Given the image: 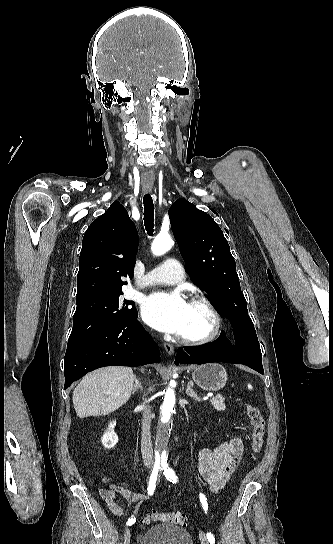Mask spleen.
Segmentation results:
<instances>
[{
    "label": "spleen",
    "instance_id": "spleen-1",
    "mask_svg": "<svg viewBox=\"0 0 333 544\" xmlns=\"http://www.w3.org/2000/svg\"><path fill=\"white\" fill-rule=\"evenodd\" d=\"M248 388H249V389H252V386H251L250 384H248Z\"/></svg>",
    "mask_w": 333,
    "mask_h": 544
}]
</instances>
